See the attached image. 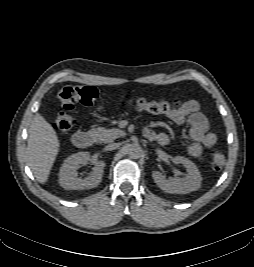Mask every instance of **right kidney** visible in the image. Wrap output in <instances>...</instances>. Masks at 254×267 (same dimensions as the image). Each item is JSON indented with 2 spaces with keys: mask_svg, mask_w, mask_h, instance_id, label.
Returning <instances> with one entry per match:
<instances>
[{
  "mask_svg": "<svg viewBox=\"0 0 254 267\" xmlns=\"http://www.w3.org/2000/svg\"><path fill=\"white\" fill-rule=\"evenodd\" d=\"M90 160L88 152H78L69 156L63 163L59 172V183L66 190L91 189L97 187L104 172L105 162L98 161L93 167L91 174L84 178L77 177V169L80 165H85Z\"/></svg>",
  "mask_w": 254,
  "mask_h": 267,
  "instance_id": "obj_1",
  "label": "right kidney"
}]
</instances>
